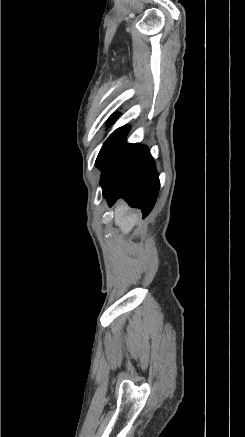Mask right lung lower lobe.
<instances>
[{"label":"right lung lower lobe","mask_w":245,"mask_h":437,"mask_svg":"<svg viewBox=\"0 0 245 437\" xmlns=\"http://www.w3.org/2000/svg\"><path fill=\"white\" fill-rule=\"evenodd\" d=\"M103 196L112 206L122 198L142 210L145 218L152 210L160 189L154 160L146 146L128 144L125 138L101 168Z\"/></svg>","instance_id":"98d812e1"}]
</instances>
